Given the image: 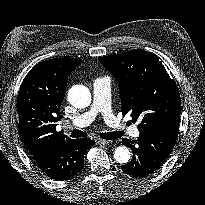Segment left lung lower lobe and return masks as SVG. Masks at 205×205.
I'll use <instances>...</instances> for the list:
<instances>
[{"mask_svg": "<svg viewBox=\"0 0 205 205\" xmlns=\"http://www.w3.org/2000/svg\"><path fill=\"white\" fill-rule=\"evenodd\" d=\"M179 132V124H169L140 132L135 141L122 143L133 151L132 160L121 167L128 175L143 178L157 171L169 157Z\"/></svg>", "mask_w": 205, "mask_h": 205, "instance_id": "0a47b994", "label": "left lung lower lobe"}]
</instances>
